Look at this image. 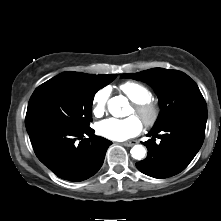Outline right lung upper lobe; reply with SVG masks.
I'll use <instances>...</instances> for the list:
<instances>
[{"instance_id": "obj_1", "label": "right lung upper lobe", "mask_w": 221, "mask_h": 221, "mask_svg": "<svg viewBox=\"0 0 221 221\" xmlns=\"http://www.w3.org/2000/svg\"><path fill=\"white\" fill-rule=\"evenodd\" d=\"M64 73H68V74H73L76 76H80V77H86V78H91V79H96V80H100V81H107L110 77H112L115 74H109V75H91V74H85V73H79V72H73V71H67Z\"/></svg>"}]
</instances>
